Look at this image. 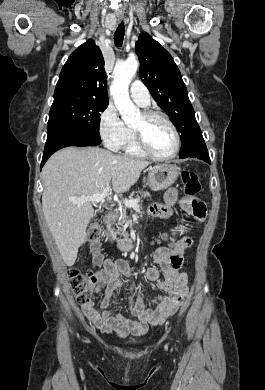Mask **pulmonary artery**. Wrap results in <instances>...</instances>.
Instances as JSON below:
<instances>
[{"mask_svg": "<svg viewBox=\"0 0 265 390\" xmlns=\"http://www.w3.org/2000/svg\"><path fill=\"white\" fill-rule=\"evenodd\" d=\"M130 96L132 100L141 107L150 105V93L147 87L140 81L134 80L130 87Z\"/></svg>", "mask_w": 265, "mask_h": 390, "instance_id": "pulmonary-artery-1", "label": "pulmonary artery"}]
</instances>
